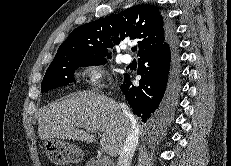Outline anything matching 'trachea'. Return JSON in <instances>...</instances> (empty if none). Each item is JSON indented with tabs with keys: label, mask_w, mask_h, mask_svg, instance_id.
Returning a JSON list of instances; mask_svg holds the SVG:
<instances>
[{
	"label": "trachea",
	"mask_w": 231,
	"mask_h": 166,
	"mask_svg": "<svg viewBox=\"0 0 231 166\" xmlns=\"http://www.w3.org/2000/svg\"><path fill=\"white\" fill-rule=\"evenodd\" d=\"M131 50H132L133 52H136V51H137V47H132Z\"/></svg>",
	"instance_id": "1"
}]
</instances>
